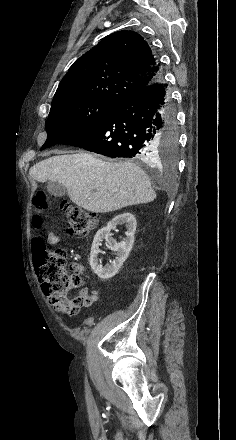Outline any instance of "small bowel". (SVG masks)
<instances>
[{"instance_id": "c3829d8e", "label": "small bowel", "mask_w": 236, "mask_h": 440, "mask_svg": "<svg viewBox=\"0 0 236 440\" xmlns=\"http://www.w3.org/2000/svg\"><path fill=\"white\" fill-rule=\"evenodd\" d=\"M59 241H60V237H58L56 234L51 232L47 235L46 243L48 245H55ZM40 251H41L40 247L34 244L32 249L34 263L39 258ZM74 270L78 273L84 272L83 266L79 264L74 266ZM77 295L83 299V303L81 307H89L95 302H97L99 299V292L97 290L90 291L87 287L82 288Z\"/></svg>"}]
</instances>
